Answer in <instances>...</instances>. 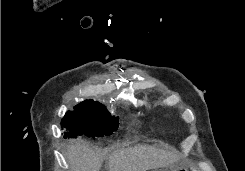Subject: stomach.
I'll return each instance as SVG.
<instances>
[{"instance_id":"stomach-1","label":"stomach","mask_w":245,"mask_h":171,"mask_svg":"<svg viewBox=\"0 0 245 171\" xmlns=\"http://www.w3.org/2000/svg\"><path fill=\"white\" fill-rule=\"evenodd\" d=\"M154 171H194L191 167L189 166H185V167H180V168H163V169H158V170H154Z\"/></svg>"}]
</instances>
